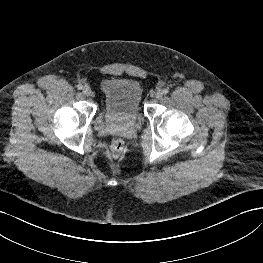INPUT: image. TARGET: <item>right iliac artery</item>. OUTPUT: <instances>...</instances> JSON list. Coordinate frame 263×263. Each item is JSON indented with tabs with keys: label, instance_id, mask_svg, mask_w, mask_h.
Returning <instances> with one entry per match:
<instances>
[{
	"label": "right iliac artery",
	"instance_id": "1",
	"mask_svg": "<svg viewBox=\"0 0 263 263\" xmlns=\"http://www.w3.org/2000/svg\"><path fill=\"white\" fill-rule=\"evenodd\" d=\"M77 88H78L79 90H81V89L83 88V85H82V84H78V85H77Z\"/></svg>",
	"mask_w": 263,
	"mask_h": 263
}]
</instances>
